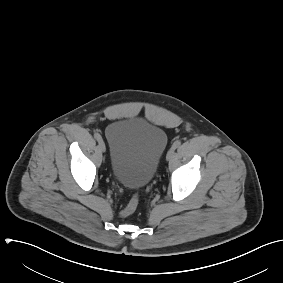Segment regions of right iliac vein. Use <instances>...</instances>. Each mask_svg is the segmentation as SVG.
<instances>
[{
    "instance_id": "1",
    "label": "right iliac vein",
    "mask_w": 283,
    "mask_h": 283,
    "mask_svg": "<svg viewBox=\"0 0 283 283\" xmlns=\"http://www.w3.org/2000/svg\"><path fill=\"white\" fill-rule=\"evenodd\" d=\"M99 149L101 152H105L106 151V146L103 140L99 141Z\"/></svg>"
}]
</instances>
